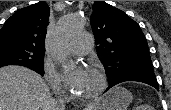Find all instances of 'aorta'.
Wrapping results in <instances>:
<instances>
[{"label":"aorta","instance_id":"aorta-1","mask_svg":"<svg viewBox=\"0 0 171 110\" xmlns=\"http://www.w3.org/2000/svg\"><path fill=\"white\" fill-rule=\"evenodd\" d=\"M84 25L85 20L80 15H65L59 20L54 35V57L59 63L65 64L68 61L63 46L73 35L80 32Z\"/></svg>","mask_w":171,"mask_h":110}]
</instances>
